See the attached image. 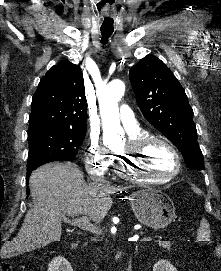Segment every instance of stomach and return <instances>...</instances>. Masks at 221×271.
I'll use <instances>...</instances> for the list:
<instances>
[{"label":"stomach","instance_id":"stomach-1","mask_svg":"<svg viewBox=\"0 0 221 271\" xmlns=\"http://www.w3.org/2000/svg\"><path fill=\"white\" fill-rule=\"evenodd\" d=\"M130 205L138 221L153 229L167 227L174 219V203L166 193L160 191H152V189L133 191Z\"/></svg>","mask_w":221,"mask_h":271}]
</instances>
